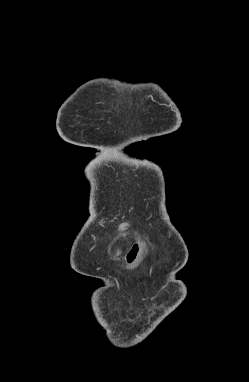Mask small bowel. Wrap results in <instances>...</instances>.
Instances as JSON below:
<instances>
[{"mask_svg":"<svg viewBox=\"0 0 249 382\" xmlns=\"http://www.w3.org/2000/svg\"><path fill=\"white\" fill-rule=\"evenodd\" d=\"M141 248H142V243H141V242H136V243H135V246H134V251H135V252H133V253L128 252V253L126 254V257H127L128 259H131V258L136 259V258L138 257V254H137L136 252H140V251H141Z\"/></svg>","mask_w":249,"mask_h":382,"instance_id":"c3829d8e","label":"small bowel"}]
</instances>
